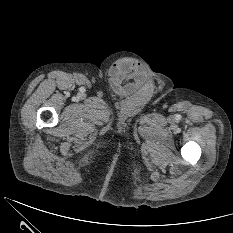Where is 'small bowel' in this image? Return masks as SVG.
I'll return each instance as SVG.
<instances>
[{
  "label": "small bowel",
  "instance_id": "small-bowel-1",
  "mask_svg": "<svg viewBox=\"0 0 233 233\" xmlns=\"http://www.w3.org/2000/svg\"><path fill=\"white\" fill-rule=\"evenodd\" d=\"M109 77L113 91L118 95L127 96L144 85L147 75L140 62L123 58L110 67Z\"/></svg>",
  "mask_w": 233,
  "mask_h": 233
}]
</instances>
